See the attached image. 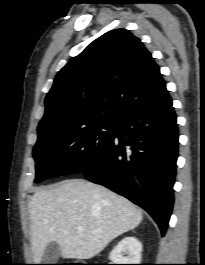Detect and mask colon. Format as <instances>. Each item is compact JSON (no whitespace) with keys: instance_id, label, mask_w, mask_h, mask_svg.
Segmentation results:
<instances>
[{"instance_id":"colon-1","label":"colon","mask_w":205,"mask_h":265,"mask_svg":"<svg viewBox=\"0 0 205 265\" xmlns=\"http://www.w3.org/2000/svg\"><path fill=\"white\" fill-rule=\"evenodd\" d=\"M75 265H85V264H75Z\"/></svg>"}]
</instances>
